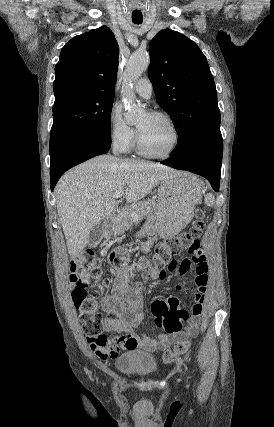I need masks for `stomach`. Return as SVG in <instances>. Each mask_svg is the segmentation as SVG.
<instances>
[{
  "label": "stomach",
  "instance_id": "0dacf381",
  "mask_svg": "<svg viewBox=\"0 0 274 427\" xmlns=\"http://www.w3.org/2000/svg\"><path fill=\"white\" fill-rule=\"evenodd\" d=\"M193 180L195 176L183 172H178L173 178L170 176L162 180L157 190L156 212L148 215L138 235L157 231L160 237L169 239L179 233L192 219L193 210L201 198L202 188L201 192L197 188L194 190L191 186Z\"/></svg>",
  "mask_w": 274,
  "mask_h": 427
}]
</instances>
